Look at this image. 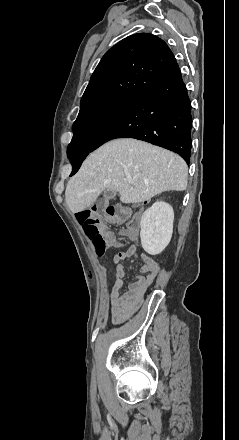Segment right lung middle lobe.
Here are the masks:
<instances>
[{
	"instance_id": "right-lung-middle-lobe-1",
	"label": "right lung middle lobe",
	"mask_w": 239,
	"mask_h": 440,
	"mask_svg": "<svg viewBox=\"0 0 239 440\" xmlns=\"http://www.w3.org/2000/svg\"><path fill=\"white\" fill-rule=\"evenodd\" d=\"M135 97L116 96L80 110L73 124V138L68 151L86 152L97 138L124 112Z\"/></svg>"
}]
</instances>
